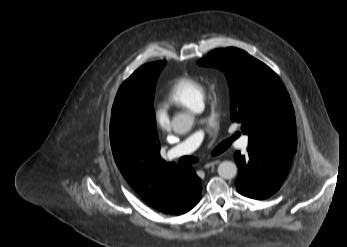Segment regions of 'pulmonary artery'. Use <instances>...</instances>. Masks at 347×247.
<instances>
[{
	"label": "pulmonary artery",
	"instance_id": "1",
	"mask_svg": "<svg viewBox=\"0 0 347 247\" xmlns=\"http://www.w3.org/2000/svg\"><path fill=\"white\" fill-rule=\"evenodd\" d=\"M203 109V104H200L195 111L199 112ZM202 133L197 132L186 138L183 142L173 147L168 152L169 158H175L177 156L187 155L194 152L202 142ZM249 139L247 136H242L236 141L235 147L240 149H246L248 147Z\"/></svg>",
	"mask_w": 347,
	"mask_h": 247
}]
</instances>
